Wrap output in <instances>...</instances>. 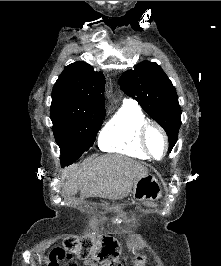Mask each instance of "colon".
Masks as SVG:
<instances>
[{
  "mask_svg": "<svg viewBox=\"0 0 221 266\" xmlns=\"http://www.w3.org/2000/svg\"><path fill=\"white\" fill-rule=\"evenodd\" d=\"M63 246H67V251L52 252H74L75 257L84 261H99L101 266H122L118 261L119 245L112 237L103 236L93 239L90 237L78 238L70 236L65 240ZM49 257L47 258V264L49 263ZM66 258L70 260L73 257ZM144 264V256H136L134 266H144Z\"/></svg>",
  "mask_w": 221,
  "mask_h": 266,
  "instance_id": "obj_1",
  "label": "colon"
}]
</instances>
